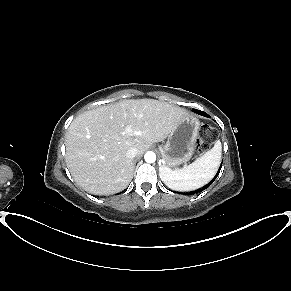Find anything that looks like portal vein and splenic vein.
I'll return each instance as SVG.
<instances>
[{
    "label": "portal vein and splenic vein",
    "instance_id": "18ae733b",
    "mask_svg": "<svg viewBox=\"0 0 291 291\" xmlns=\"http://www.w3.org/2000/svg\"><path fill=\"white\" fill-rule=\"evenodd\" d=\"M126 129H127V132L132 133V130L130 127H127Z\"/></svg>",
    "mask_w": 291,
    "mask_h": 291
}]
</instances>
